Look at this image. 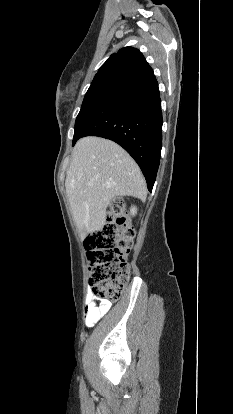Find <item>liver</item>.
I'll list each match as a JSON object with an SVG mask.
<instances>
[{"label":"liver","instance_id":"obj_1","mask_svg":"<svg viewBox=\"0 0 233 414\" xmlns=\"http://www.w3.org/2000/svg\"><path fill=\"white\" fill-rule=\"evenodd\" d=\"M73 218L82 238L106 224V209L117 196L146 200V182L130 155L115 142L94 136L80 139L65 180Z\"/></svg>","mask_w":233,"mask_h":414}]
</instances>
